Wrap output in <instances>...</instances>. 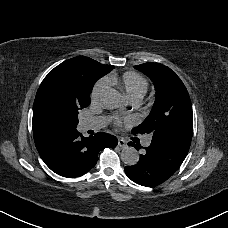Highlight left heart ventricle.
I'll return each mask as SVG.
<instances>
[{
  "label": "left heart ventricle",
  "instance_id": "obj_1",
  "mask_svg": "<svg viewBox=\"0 0 228 228\" xmlns=\"http://www.w3.org/2000/svg\"><path fill=\"white\" fill-rule=\"evenodd\" d=\"M123 100H124L125 104L127 105V108L126 109L117 108L116 109V114H117L116 117L117 118H122V114L125 113L128 109L129 101L125 98H123Z\"/></svg>",
  "mask_w": 228,
  "mask_h": 228
}]
</instances>
